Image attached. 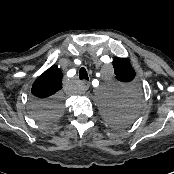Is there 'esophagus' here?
Wrapping results in <instances>:
<instances>
[{
	"mask_svg": "<svg viewBox=\"0 0 174 174\" xmlns=\"http://www.w3.org/2000/svg\"><path fill=\"white\" fill-rule=\"evenodd\" d=\"M81 84H82L81 88H82L83 91H87L90 87V82H88V81H82Z\"/></svg>",
	"mask_w": 174,
	"mask_h": 174,
	"instance_id": "esophagus-1",
	"label": "esophagus"
}]
</instances>
